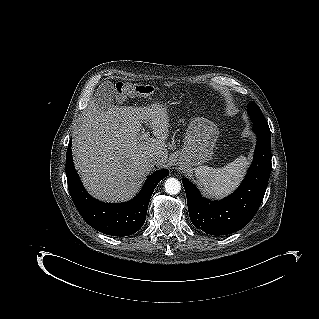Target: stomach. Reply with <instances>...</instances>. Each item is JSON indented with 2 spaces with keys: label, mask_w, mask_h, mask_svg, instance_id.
Here are the masks:
<instances>
[{
  "label": "stomach",
  "mask_w": 319,
  "mask_h": 319,
  "mask_svg": "<svg viewBox=\"0 0 319 319\" xmlns=\"http://www.w3.org/2000/svg\"><path fill=\"white\" fill-rule=\"evenodd\" d=\"M219 130L203 117H196L186 131L184 145L178 156V163L184 168H192L211 160Z\"/></svg>",
  "instance_id": "0dacf381"
}]
</instances>
